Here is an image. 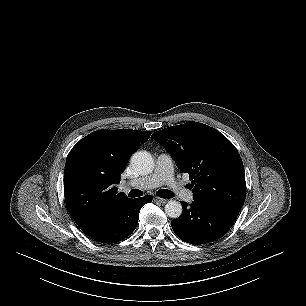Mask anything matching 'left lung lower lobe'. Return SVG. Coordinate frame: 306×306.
Listing matches in <instances>:
<instances>
[{
  "label": "left lung lower lobe",
  "instance_id": "0a47b994",
  "mask_svg": "<svg viewBox=\"0 0 306 306\" xmlns=\"http://www.w3.org/2000/svg\"><path fill=\"white\" fill-rule=\"evenodd\" d=\"M182 215L171 222L176 235L191 244H205L221 238L233 225L240 210L193 201L181 202Z\"/></svg>",
  "mask_w": 306,
  "mask_h": 306
}]
</instances>
